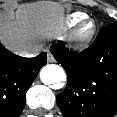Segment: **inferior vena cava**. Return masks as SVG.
I'll return each mask as SVG.
<instances>
[{"label":"inferior vena cava","instance_id":"obj_1","mask_svg":"<svg viewBox=\"0 0 117 117\" xmlns=\"http://www.w3.org/2000/svg\"><path fill=\"white\" fill-rule=\"evenodd\" d=\"M40 50H41L40 46L33 45V46H29L25 49L18 51L17 54L22 57L29 58V57H34V56L38 55Z\"/></svg>","mask_w":117,"mask_h":117}]
</instances>
